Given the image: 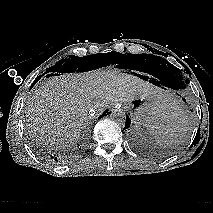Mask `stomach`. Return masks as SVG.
Instances as JSON below:
<instances>
[{"mask_svg":"<svg viewBox=\"0 0 213 213\" xmlns=\"http://www.w3.org/2000/svg\"><path fill=\"white\" fill-rule=\"evenodd\" d=\"M165 106L159 105L152 99L138 98L129 103L128 108L137 124L149 125L156 120L157 114L163 111Z\"/></svg>","mask_w":213,"mask_h":213,"instance_id":"obj_1","label":"stomach"}]
</instances>
